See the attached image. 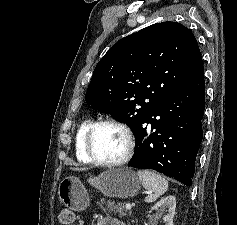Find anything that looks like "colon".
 <instances>
[{
	"mask_svg": "<svg viewBox=\"0 0 237 225\" xmlns=\"http://www.w3.org/2000/svg\"><path fill=\"white\" fill-rule=\"evenodd\" d=\"M75 221V216L70 210H62L58 215L59 225H71Z\"/></svg>",
	"mask_w": 237,
	"mask_h": 225,
	"instance_id": "obj_1",
	"label": "colon"
}]
</instances>
